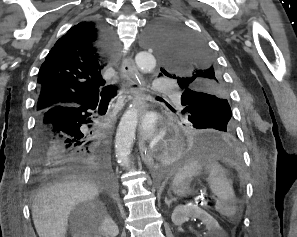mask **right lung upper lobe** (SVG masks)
<instances>
[{
  "instance_id": "obj_1",
  "label": "right lung upper lobe",
  "mask_w": 297,
  "mask_h": 237,
  "mask_svg": "<svg viewBox=\"0 0 297 237\" xmlns=\"http://www.w3.org/2000/svg\"><path fill=\"white\" fill-rule=\"evenodd\" d=\"M112 40L98 22H80L61 37L42 64L36 112L55 106H79L99 99L102 70L111 57Z\"/></svg>"
}]
</instances>
